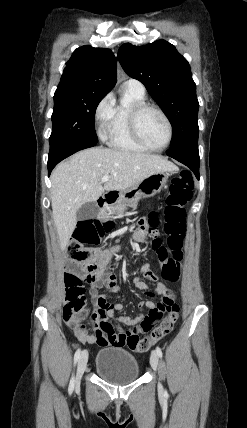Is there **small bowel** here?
Returning a JSON list of instances; mask_svg holds the SVG:
<instances>
[{"label":"small bowel","mask_w":247,"mask_h":428,"mask_svg":"<svg viewBox=\"0 0 247 428\" xmlns=\"http://www.w3.org/2000/svg\"><path fill=\"white\" fill-rule=\"evenodd\" d=\"M146 239V230L144 228H140L134 232L132 235V240L135 242H143ZM120 250V247H114L112 249L104 250V251H96L97 260L100 264L102 271H103V279L98 285H91L90 288V294L97 305H102L107 312V316L110 317L114 322L125 324L128 326H135L136 322L139 320H147L148 317V310L146 309V313L140 314L139 316L132 318L130 316H122L117 315V312L122 311L123 305L121 303H114L109 301L108 294L109 293H116L118 291V287L116 285V279L115 275L113 273V270L115 268L114 263H110V260L112 256ZM141 274L148 276L150 279L154 280L156 279V275H154L151 271L150 263H145L141 269ZM75 273H77L80 277H82L81 272L77 269L75 270ZM134 286L140 290L144 295L148 297H154V296H161V298H174L172 290L164 283L159 282L156 283L154 286L150 287L146 282H144L141 278L137 277L134 280ZM105 287L108 291V293H102L101 289ZM76 337L78 340L85 342V343H96L99 346L106 347L111 345L110 342L102 337L101 341H96L93 337V334H88L87 332L83 334H76Z\"/></svg>","instance_id":"c3829d8e"}]
</instances>
